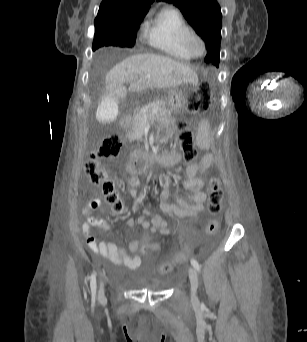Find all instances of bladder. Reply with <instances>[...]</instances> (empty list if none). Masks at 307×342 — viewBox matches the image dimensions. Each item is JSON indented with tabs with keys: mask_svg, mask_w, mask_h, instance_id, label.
<instances>
[{
	"mask_svg": "<svg viewBox=\"0 0 307 342\" xmlns=\"http://www.w3.org/2000/svg\"><path fill=\"white\" fill-rule=\"evenodd\" d=\"M137 286L141 289H147L151 291H162L168 287V283L158 279L152 274H142L137 282Z\"/></svg>",
	"mask_w": 307,
	"mask_h": 342,
	"instance_id": "1",
	"label": "bladder"
}]
</instances>
